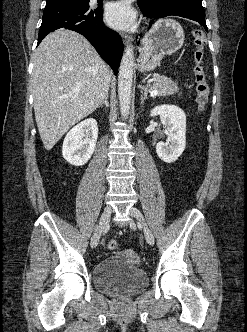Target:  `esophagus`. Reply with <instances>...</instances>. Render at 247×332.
Here are the masks:
<instances>
[{"mask_svg":"<svg viewBox=\"0 0 247 332\" xmlns=\"http://www.w3.org/2000/svg\"><path fill=\"white\" fill-rule=\"evenodd\" d=\"M122 40L124 42L125 45L129 44L131 41V37L129 35L123 34L122 35Z\"/></svg>","mask_w":247,"mask_h":332,"instance_id":"1","label":"esophagus"}]
</instances>
